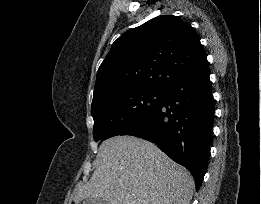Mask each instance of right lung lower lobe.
I'll return each mask as SVG.
<instances>
[{
  "mask_svg": "<svg viewBox=\"0 0 261 204\" xmlns=\"http://www.w3.org/2000/svg\"><path fill=\"white\" fill-rule=\"evenodd\" d=\"M208 62L173 82L159 103L120 135L154 142L172 160L192 173L196 189L207 170L214 99L211 94Z\"/></svg>",
  "mask_w": 261,
  "mask_h": 204,
  "instance_id": "obj_1",
  "label": "right lung lower lobe"
}]
</instances>
